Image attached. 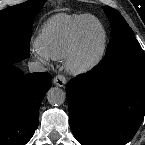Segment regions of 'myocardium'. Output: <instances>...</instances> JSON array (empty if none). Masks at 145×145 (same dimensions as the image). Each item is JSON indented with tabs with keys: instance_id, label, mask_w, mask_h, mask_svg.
<instances>
[{
	"instance_id": "1",
	"label": "myocardium",
	"mask_w": 145,
	"mask_h": 145,
	"mask_svg": "<svg viewBox=\"0 0 145 145\" xmlns=\"http://www.w3.org/2000/svg\"><path fill=\"white\" fill-rule=\"evenodd\" d=\"M94 23L99 27L100 41L94 50L87 52L85 34L89 23H85L79 28L77 40L65 60V68L71 74L79 75L91 71L99 64L105 54L107 47L106 29L98 19H95Z\"/></svg>"
}]
</instances>
